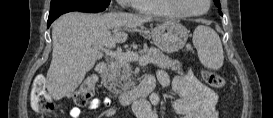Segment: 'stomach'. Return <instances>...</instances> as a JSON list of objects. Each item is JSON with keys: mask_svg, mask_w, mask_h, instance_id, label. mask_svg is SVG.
Listing matches in <instances>:
<instances>
[{"mask_svg": "<svg viewBox=\"0 0 273 118\" xmlns=\"http://www.w3.org/2000/svg\"><path fill=\"white\" fill-rule=\"evenodd\" d=\"M188 33L183 25L175 21H165L150 30L154 45L166 53L180 50L186 44Z\"/></svg>", "mask_w": 273, "mask_h": 118, "instance_id": "obj_1", "label": "stomach"}]
</instances>
